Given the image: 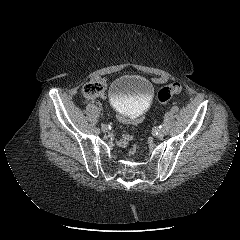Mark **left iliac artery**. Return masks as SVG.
I'll use <instances>...</instances> for the list:
<instances>
[{"instance_id": "obj_1", "label": "left iliac artery", "mask_w": 240, "mask_h": 240, "mask_svg": "<svg viewBox=\"0 0 240 240\" xmlns=\"http://www.w3.org/2000/svg\"><path fill=\"white\" fill-rule=\"evenodd\" d=\"M163 131H166L168 128V112L164 116V123L161 125Z\"/></svg>"}]
</instances>
